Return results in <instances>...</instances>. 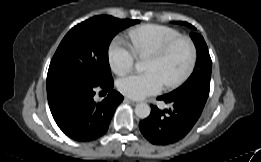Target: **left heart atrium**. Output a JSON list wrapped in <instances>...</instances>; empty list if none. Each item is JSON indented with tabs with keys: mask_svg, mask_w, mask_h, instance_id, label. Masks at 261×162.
I'll use <instances>...</instances> for the list:
<instances>
[{
	"mask_svg": "<svg viewBox=\"0 0 261 162\" xmlns=\"http://www.w3.org/2000/svg\"><path fill=\"white\" fill-rule=\"evenodd\" d=\"M116 84L121 93L133 99L158 94L165 85L163 78L156 70L125 75L119 78Z\"/></svg>",
	"mask_w": 261,
	"mask_h": 162,
	"instance_id": "obj_1",
	"label": "left heart atrium"
}]
</instances>
